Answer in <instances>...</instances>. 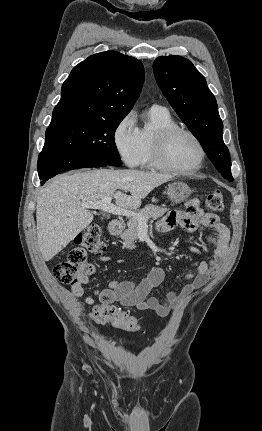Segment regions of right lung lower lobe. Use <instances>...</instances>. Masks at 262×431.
I'll return each mask as SVG.
<instances>
[{"instance_id":"right-lung-lower-lobe-1","label":"right lung lower lobe","mask_w":262,"mask_h":431,"mask_svg":"<svg viewBox=\"0 0 262 431\" xmlns=\"http://www.w3.org/2000/svg\"><path fill=\"white\" fill-rule=\"evenodd\" d=\"M108 164L79 155L65 153H43L38 157V174L42 183L53 176L64 171L88 168V167H105Z\"/></svg>"}]
</instances>
